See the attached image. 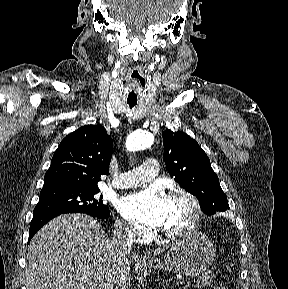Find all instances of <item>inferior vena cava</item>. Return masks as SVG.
Returning a JSON list of instances; mask_svg holds the SVG:
<instances>
[{
	"instance_id": "1",
	"label": "inferior vena cava",
	"mask_w": 288,
	"mask_h": 289,
	"mask_svg": "<svg viewBox=\"0 0 288 289\" xmlns=\"http://www.w3.org/2000/svg\"><path fill=\"white\" fill-rule=\"evenodd\" d=\"M135 238V230L129 225H117L114 230V237L110 240L112 248V255L114 260L121 263L126 259L127 255L132 249V244ZM120 275V272H113V274H106L103 280H100L96 289H115V277Z\"/></svg>"
}]
</instances>
